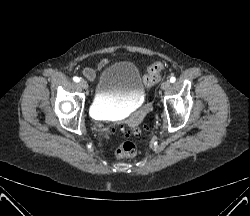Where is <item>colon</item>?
Instances as JSON below:
<instances>
[{
  "label": "colon",
  "mask_w": 250,
  "mask_h": 216,
  "mask_svg": "<svg viewBox=\"0 0 250 216\" xmlns=\"http://www.w3.org/2000/svg\"><path fill=\"white\" fill-rule=\"evenodd\" d=\"M164 70V64L160 61L154 62L149 66L147 73L143 77V84L146 88L152 87L160 80V75ZM121 132L125 136H130L131 134L139 135L142 133L141 129L134 131L121 129ZM138 152L137 144L133 141L127 140L122 143L120 147L115 150V155L118 158H128L134 157Z\"/></svg>",
  "instance_id": "colon-1"
}]
</instances>
